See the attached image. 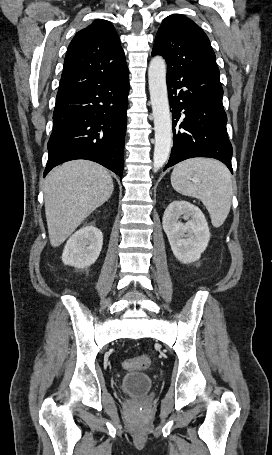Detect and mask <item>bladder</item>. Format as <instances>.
Returning <instances> with one entry per match:
<instances>
[{
	"instance_id": "31cf9c89",
	"label": "bladder",
	"mask_w": 272,
	"mask_h": 455,
	"mask_svg": "<svg viewBox=\"0 0 272 455\" xmlns=\"http://www.w3.org/2000/svg\"><path fill=\"white\" fill-rule=\"evenodd\" d=\"M152 379L142 372H129L121 380L120 387L123 392L132 395L147 393L152 388Z\"/></svg>"
}]
</instances>
